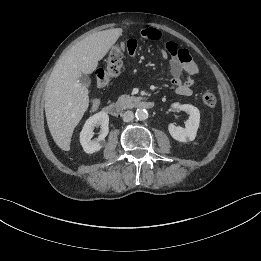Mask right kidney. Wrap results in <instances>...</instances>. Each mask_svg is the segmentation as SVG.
Returning <instances> with one entry per match:
<instances>
[{"label": "right kidney", "instance_id": "right-kidney-1", "mask_svg": "<svg viewBox=\"0 0 261 261\" xmlns=\"http://www.w3.org/2000/svg\"><path fill=\"white\" fill-rule=\"evenodd\" d=\"M101 127L99 136L96 140H91L94 133L93 130L96 126ZM109 132V116L105 112H98L89 117L80 132V143L83 150L92 154L99 151L105 145V137Z\"/></svg>", "mask_w": 261, "mask_h": 261}]
</instances>
